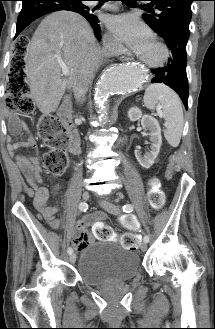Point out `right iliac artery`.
Instances as JSON below:
<instances>
[{
    "label": "right iliac artery",
    "instance_id": "obj_1",
    "mask_svg": "<svg viewBox=\"0 0 215 329\" xmlns=\"http://www.w3.org/2000/svg\"><path fill=\"white\" fill-rule=\"evenodd\" d=\"M79 209H80V211L86 212V210L88 209L87 203L86 202H81L79 204ZM67 252H68V254H72L73 253V249L71 247H69L67 249Z\"/></svg>",
    "mask_w": 215,
    "mask_h": 329
}]
</instances>
